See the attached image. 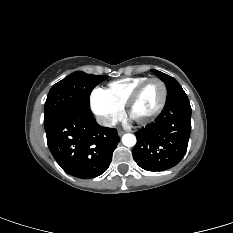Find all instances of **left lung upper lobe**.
Listing matches in <instances>:
<instances>
[{
	"label": "left lung upper lobe",
	"mask_w": 233,
	"mask_h": 233,
	"mask_svg": "<svg viewBox=\"0 0 233 233\" xmlns=\"http://www.w3.org/2000/svg\"><path fill=\"white\" fill-rule=\"evenodd\" d=\"M151 71L154 72L165 83L167 87L166 102L171 101L181 94H186L180 84L173 77L154 69H152Z\"/></svg>",
	"instance_id": "1"
}]
</instances>
